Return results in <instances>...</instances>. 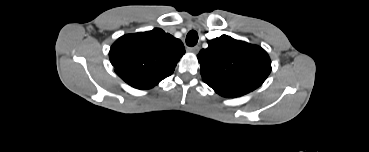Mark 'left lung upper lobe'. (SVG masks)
<instances>
[{"label":"left lung upper lobe","instance_id":"left-lung-upper-lobe-1","mask_svg":"<svg viewBox=\"0 0 369 152\" xmlns=\"http://www.w3.org/2000/svg\"><path fill=\"white\" fill-rule=\"evenodd\" d=\"M197 55L203 81L221 96L234 98L258 88L271 72L267 52L228 35L208 41Z\"/></svg>","mask_w":369,"mask_h":152}]
</instances>
